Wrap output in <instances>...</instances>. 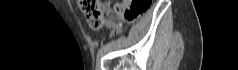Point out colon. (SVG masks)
I'll return each instance as SVG.
<instances>
[{
    "instance_id": "1",
    "label": "colon",
    "mask_w": 238,
    "mask_h": 70,
    "mask_svg": "<svg viewBox=\"0 0 238 70\" xmlns=\"http://www.w3.org/2000/svg\"><path fill=\"white\" fill-rule=\"evenodd\" d=\"M78 7L89 26L100 29L105 24L109 4L99 0H78ZM149 0H122L113 5L112 10L123 20L131 22L140 17L148 8Z\"/></svg>"
}]
</instances>
